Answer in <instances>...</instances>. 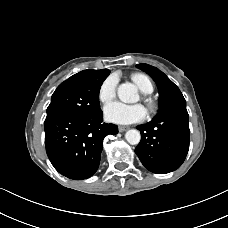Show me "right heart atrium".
I'll list each match as a JSON object with an SVG mask.
<instances>
[{
	"instance_id": "d8ad5b80",
	"label": "right heart atrium",
	"mask_w": 228,
	"mask_h": 228,
	"mask_svg": "<svg viewBox=\"0 0 228 228\" xmlns=\"http://www.w3.org/2000/svg\"><path fill=\"white\" fill-rule=\"evenodd\" d=\"M118 78L116 75H109L100 85L98 99L101 103L107 104L116 95Z\"/></svg>"
}]
</instances>
